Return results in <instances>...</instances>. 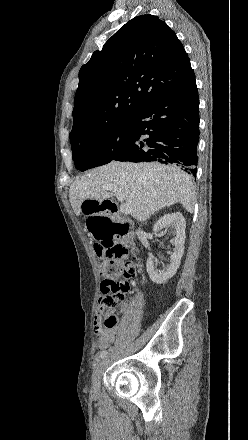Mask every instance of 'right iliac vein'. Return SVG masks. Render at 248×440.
Here are the masks:
<instances>
[{"instance_id":"63e3f726","label":"right iliac vein","mask_w":248,"mask_h":440,"mask_svg":"<svg viewBox=\"0 0 248 440\" xmlns=\"http://www.w3.org/2000/svg\"><path fill=\"white\" fill-rule=\"evenodd\" d=\"M107 359L98 360L92 374V389L94 393H98L100 387V379L104 371Z\"/></svg>"}]
</instances>
